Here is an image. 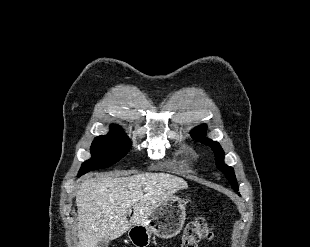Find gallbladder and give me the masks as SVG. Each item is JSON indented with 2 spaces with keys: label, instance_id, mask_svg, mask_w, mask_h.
<instances>
[{
  "label": "gallbladder",
  "instance_id": "gallbladder-1",
  "mask_svg": "<svg viewBox=\"0 0 310 247\" xmlns=\"http://www.w3.org/2000/svg\"><path fill=\"white\" fill-rule=\"evenodd\" d=\"M109 241L105 238L101 239L97 245V247H108Z\"/></svg>",
  "mask_w": 310,
  "mask_h": 247
}]
</instances>
